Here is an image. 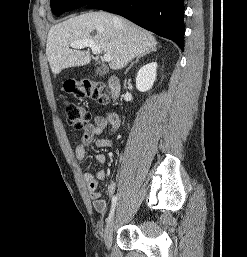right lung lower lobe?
<instances>
[{
  "mask_svg": "<svg viewBox=\"0 0 247 257\" xmlns=\"http://www.w3.org/2000/svg\"><path fill=\"white\" fill-rule=\"evenodd\" d=\"M87 8L121 15L184 50L183 0H94Z\"/></svg>",
  "mask_w": 247,
  "mask_h": 257,
  "instance_id": "right-lung-lower-lobe-1",
  "label": "right lung lower lobe"
}]
</instances>
